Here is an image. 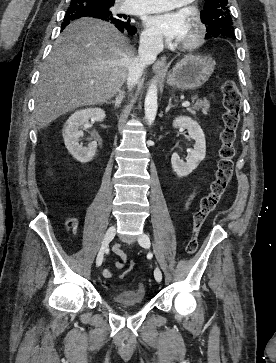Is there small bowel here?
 Instances as JSON below:
<instances>
[{"instance_id":"obj_1","label":"small bowel","mask_w":276,"mask_h":363,"mask_svg":"<svg viewBox=\"0 0 276 363\" xmlns=\"http://www.w3.org/2000/svg\"><path fill=\"white\" fill-rule=\"evenodd\" d=\"M194 196H195V194L193 193L187 198L186 203H185L186 207L190 206L191 201L193 200ZM113 251L118 257L117 261L115 262V266L118 269L124 268L126 263H127V255L123 251V245L122 244H116L113 247ZM103 276L106 277V278H111L113 276V273H112V271L110 269H104L103 270Z\"/></svg>"}]
</instances>
